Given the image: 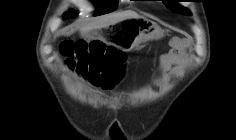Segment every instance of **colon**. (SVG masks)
Listing matches in <instances>:
<instances>
[{
    "mask_svg": "<svg viewBox=\"0 0 236 140\" xmlns=\"http://www.w3.org/2000/svg\"><path fill=\"white\" fill-rule=\"evenodd\" d=\"M61 52L68 67L81 71L103 88L113 87L124 74L125 55L102 41H64Z\"/></svg>",
    "mask_w": 236,
    "mask_h": 140,
    "instance_id": "5ec220e1",
    "label": "colon"
}]
</instances>
